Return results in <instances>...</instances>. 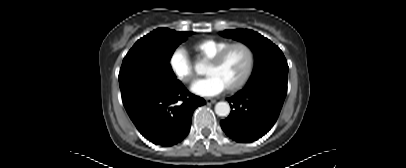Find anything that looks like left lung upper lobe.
Wrapping results in <instances>:
<instances>
[{
  "instance_id": "left-lung-upper-lobe-1",
  "label": "left lung upper lobe",
  "mask_w": 406,
  "mask_h": 168,
  "mask_svg": "<svg viewBox=\"0 0 406 168\" xmlns=\"http://www.w3.org/2000/svg\"><path fill=\"white\" fill-rule=\"evenodd\" d=\"M221 35L245 43L254 52L255 67L247 85L261 82L287 84V61L270 40L248 29L225 30Z\"/></svg>"
}]
</instances>
